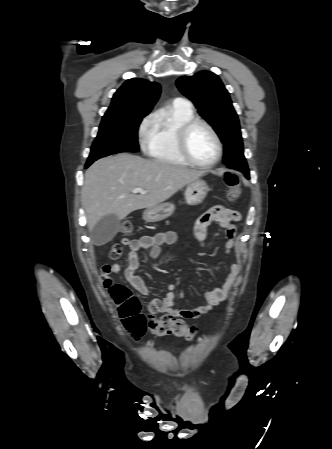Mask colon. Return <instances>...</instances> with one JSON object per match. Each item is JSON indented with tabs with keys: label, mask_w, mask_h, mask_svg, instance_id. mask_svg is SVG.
<instances>
[{
	"label": "colon",
	"mask_w": 332,
	"mask_h": 449,
	"mask_svg": "<svg viewBox=\"0 0 332 449\" xmlns=\"http://www.w3.org/2000/svg\"><path fill=\"white\" fill-rule=\"evenodd\" d=\"M224 184L227 187V199L230 202H235L240 194V180L238 176L227 171L224 174ZM124 234H131L133 231V224L130 221H124L120 228ZM122 241L121 243L113 244L108 256L111 259H118L122 255ZM110 294L118 305L121 317L124 320L126 328L131 332L133 337H140L145 331L146 326L151 332L159 337L163 336H177L186 339H192L196 334L194 326L187 325L183 320L174 318L171 315H164L160 318L146 321L141 312L140 304L131 290L122 284H114L110 287Z\"/></svg>",
	"instance_id": "obj_1"
}]
</instances>
